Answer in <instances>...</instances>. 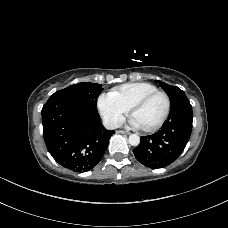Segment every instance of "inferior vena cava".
<instances>
[{
    "label": "inferior vena cava",
    "instance_id": "obj_1",
    "mask_svg": "<svg viewBox=\"0 0 228 228\" xmlns=\"http://www.w3.org/2000/svg\"><path fill=\"white\" fill-rule=\"evenodd\" d=\"M103 125L108 130H113L119 127V124L111 118H104Z\"/></svg>",
    "mask_w": 228,
    "mask_h": 228
}]
</instances>
